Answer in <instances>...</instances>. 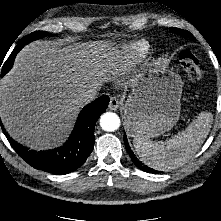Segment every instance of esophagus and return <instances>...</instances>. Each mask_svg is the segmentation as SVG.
<instances>
[{"mask_svg": "<svg viewBox=\"0 0 221 221\" xmlns=\"http://www.w3.org/2000/svg\"><path fill=\"white\" fill-rule=\"evenodd\" d=\"M120 102L115 96L110 97L109 108L116 111L119 107Z\"/></svg>", "mask_w": 221, "mask_h": 221, "instance_id": "34e87169", "label": "esophagus"}]
</instances>
